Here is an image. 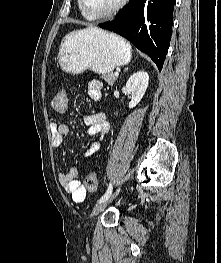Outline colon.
I'll list each match as a JSON object with an SVG mask.
<instances>
[{
	"label": "colon",
	"mask_w": 221,
	"mask_h": 263,
	"mask_svg": "<svg viewBox=\"0 0 221 263\" xmlns=\"http://www.w3.org/2000/svg\"><path fill=\"white\" fill-rule=\"evenodd\" d=\"M68 96L65 90L55 93L51 101V108L57 114H63L67 109ZM84 187L88 192L95 193L98 190V177L90 172L84 178Z\"/></svg>",
	"instance_id": "obj_1"
}]
</instances>
